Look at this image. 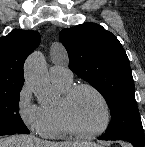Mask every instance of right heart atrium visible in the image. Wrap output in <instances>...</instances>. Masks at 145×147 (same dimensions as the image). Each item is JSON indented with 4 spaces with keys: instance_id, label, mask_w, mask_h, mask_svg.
<instances>
[{
    "instance_id": "1",
    "label": "right heart atrium",
    "mask_w": 145,
    "mask_h": 147,
    "mask_svg": "<svg viewBox=\"0 0 145 147\" xmlns=\"http://www.w3.org/2000/svg\"><path fill=\"white\" fill-rule=\"evenodd\" d=\"M16 110L22 123L31 131L41 133L43 114L41 106L33 101L31 88L24 83L17 95Z\"/></svg>"
}]
</instances>
